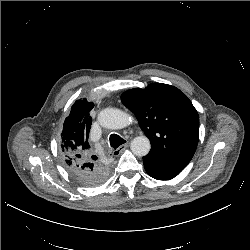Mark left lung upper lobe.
Here are the masks:
<instances>
[{
    "mask_svg": "<svg viewBox=\"0 0 250 250\" xmlns=\"http://www.w3.org/2000/svg\"><path fill=\"white\" fill-rule=\"evenodd\" d=\"M121 101L136 115L151 142L147 157L165 165L187 166L199 140V116L183 92L151 83L145 89L124 92Z\"/></svg>",
    "mask_w": 250,
    "mask_h": 250,
    "instance_id": "obj_1",
    "label": "left lung upper lobe"
}]
</instances>
